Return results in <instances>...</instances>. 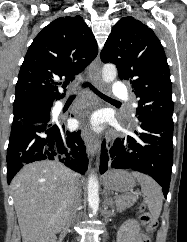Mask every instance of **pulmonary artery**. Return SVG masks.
<instances>
[{"label":"pulmonary artery","instance_id":"obj_1","mask_svg":"<svg viewBox=\"0 0 187 242\" xmlns=\"http://www.w3.org/2000/svg\"><path fill=\"white\" fill-rule=\"evenodd\" d=\"M113 94L116 98L124 99L127 97V88L123 83L116 82L113 86Z\"/></svg>","mask_w":187,"mask_h":242}]
</instances>
